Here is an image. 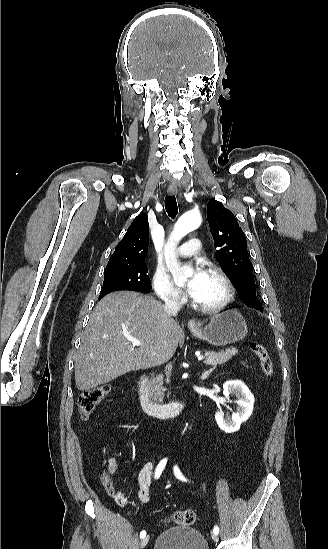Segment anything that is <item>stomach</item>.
<instances>
[{"mask_svg":"<svg viewBox=\"0 0 328 549\" xmlns=\"http://www.w3.org/2000/svg\"><path fill=\"white\" fill-rule=\"evenodd\" d=\"M190 329L195 337L208 341L214 347H225L242 341L248 333L247 323L237 309L214 315L203 329H198L195 325H190Z\"/></svg>","mask_w":328,"mask_h":549,"instance_id":"obj_1","label":"stomach"}]
</instances>
